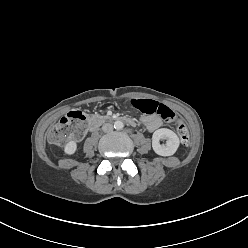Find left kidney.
<instances>
[{
    "label": "left kidney",
    "instance_id": "1",
    "mask_svg": "<svg viewBox=\"0 0 248 248\" xmlns=\"http://www.w3.org/2000/svg\"><path fill=\"white\" fill-rule=\"evenodd\" d=\"M160 139H166V144L161 145ZM180 141L176 133L167 128H161L156 130L152 136V148L154 152L160 156H171L173 155L178 147Z\"/></svg>",
    "mask_w": 248,
    "mask_h": 248
}]
</instances>
